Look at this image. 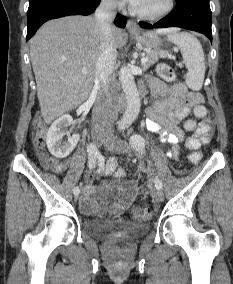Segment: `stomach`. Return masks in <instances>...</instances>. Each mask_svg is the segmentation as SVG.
Masks as SVG:
<instances>
[{
	"mask_svg": "<svg viewBox=\"0 0 233 284\" xmlns=\"http://www.w3.org/2000/svg\"><path fill=\"white\" fill-rule=\"evenodd\" d=\"M131 36L143 46L152 51H159L162 49V39L158 32L155 31H140L132 33Z\"/></svg>",
	"mask_w": 233,
	"mask_h": 284,
	"instance_id": "obj_1",
	"label": "stomach"
}]
</instances>
